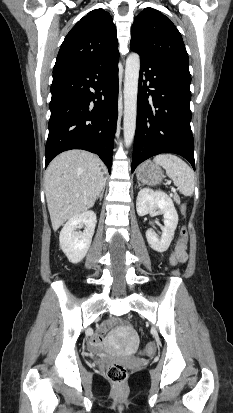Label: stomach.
Returning <instances> with one entry per match:
<instances>
[{
	"label": "stomach",
	"instance_id": "1",
	"mask_svg": "<svg viewBox=\"0 0 233 413\" xmlns=\"http://www.w3.org/2000/svg\"><path fill=\"white\" fill-rule=\"evenodd\" d=\"M136 175L139 181L150 186L160 184L164 178L162 169L151 161L141 164Z\"/></svg>",
	"mask_w": 233,
	"mask_h": 413
}]
</instances>
